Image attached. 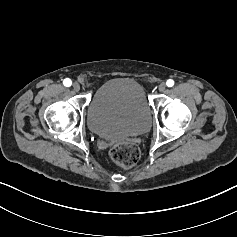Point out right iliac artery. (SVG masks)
Returning <instances> with one entry per match:
<instances>
[{
  "label": "right iliac artery",
  "instance_id": "1",
  "mask_svg": "<svg viewBox=\"0 0 237 237\" xmlns=\"http://www.w3.org/2000/svg\"><path fill=\"white\" fill-rule=\"evenodd\" d=\"M64 86L69 87L72 84V81L69 78L64 79L63 81Z\"/></svg>",
  "mask_w": 237,
  "mask_h": 237
}]
</instances>
